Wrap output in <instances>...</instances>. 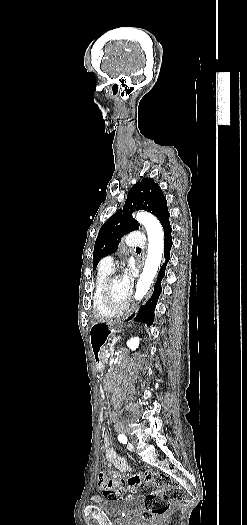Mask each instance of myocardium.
<instances>
[{
	"instance_id": "f54148a6",
	"label": "myocardium",
	"mask_w": 247,
	"mask_h": 525,
	"mask_svg": "<svg viewBox=\"0 0 247 525\" xmlns=\"http://www.w3.org/2000/svg\"><path fill=\"white\" fill-rule=\"evenodd\" d=\"M114 279H115L114 276L108 277L104 281V283L100 286V288H99V296L101 298L102 305H103V307L108 308V309H109V306H110V300L113 297L110 294V286H111V283L113 282ZM116 303L118 305H122V306H127L128 305V303H127V301L125 299L123 301H120V300L116 299Z\"/></svg>"
}]
</instances>
